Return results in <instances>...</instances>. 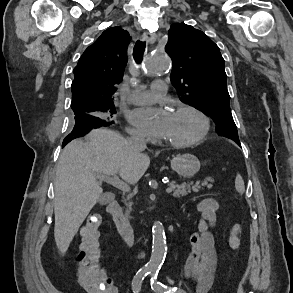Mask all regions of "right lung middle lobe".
<instances>
[{
  "instance_id": "1",
  "label": "right lung middle lobe",
  "mask_w": 293,
  "mask_h": 293,
  "mask_svg": "<svg viewBox=\"0 0 293 293\" xmlns=\"http://www.w3.org/2000/svg\"><path fill=\"white\" fill-rule=\"evenodd\" d=\"M96 116L105 120H111L116 113L114 103H103L92 107Z\"/></svg>"
}]
</instances>
